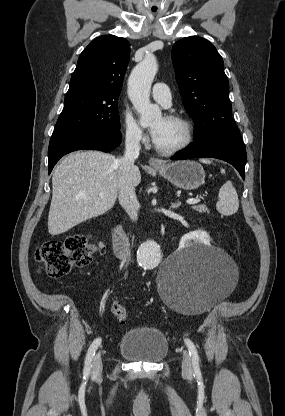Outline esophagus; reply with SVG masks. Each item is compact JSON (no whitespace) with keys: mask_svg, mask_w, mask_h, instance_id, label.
Masks as SVG:
<instances>
[{"mask_svg":"<svg viewBox=\"0 0 285 416\" xmlns=\"http://www.w3.org/2000/svg\"><path fill=\"white\" fill-rule=\"evenodd\" d=\"M149 164L151 166H155V165H161V162L157 158L152 157V158L149 159Z\"/></svg>","mask_w":285,"mask_h":416,"instance_id":"obj_1","label":"esophagus"}]
</instances>
